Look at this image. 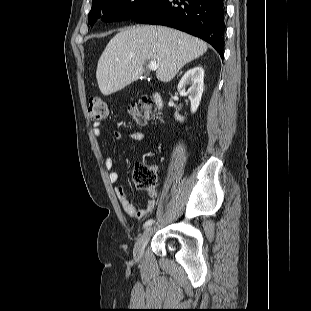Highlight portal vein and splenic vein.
Segmentation results:
<instances>
[{
  "mask_svg": "<svg viewBox=\"0 0 311 311\" xmlns=\"http://www.w3.org/2000/svg\"><path fill=\"white\" fill-rule=\"evenodd\" d=\"M158 64L156 63V62H153V61H151L150 63H149V68H150V70H152V71H156L157 69H158Z\"/></svg>",
  "mask_w": 311,
  "mask_h": 311,
  "instance_id": "18ae733b",
  "label": "portal vein and splenic vein"
}]
</instances>
